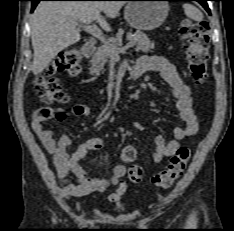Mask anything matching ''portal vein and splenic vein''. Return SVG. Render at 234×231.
Here are the masks:
<instances>
[{"mask_svg": "<svg viewBox=\"0 0 234 231\" xmlns=\"http://www.w3.org/2000/svg\"><path fill=\"white\" fill-rule=\"evenodd\" d=\"M80 27H83L86 32H88L92 36L99 39L103 44L109 45V42L106 41L105 36L103 35L102 31L95 24L89 25V24L85 23V25H80ZM134 45H135L134 42L129 41L128 43H126V45L124 47L116 49L114 56H117L120 52H124L127 49L133 47Z\"/></svg>", "mask_w": 234, "mask_h": 231, "instance_id": "portal-vein-and-splenic-vein-1", "label": "portal vein and splenic vein"}]
</instances>
